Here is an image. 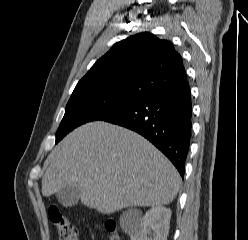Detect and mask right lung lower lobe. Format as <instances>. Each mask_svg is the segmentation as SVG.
<instances>
[{"label":"right lung lower lobe","mask_w":248,"mask_h":240,"mask_svg":"<svg viewBox=\"0 0 248 240\" xmlns=\"http://www.w3.org/2000/svg\"><path fill=\"white\" fill-rule=\"evenodd\" d=\"M131 129L154 144L184 176L192 133L189 82L165 87L102 119Z\"/></svg>","instance_id":"98d812e1"}]
</instances>
